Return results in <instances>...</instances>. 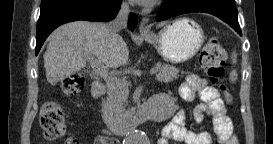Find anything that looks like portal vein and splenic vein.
<instances>
[{
	"label": "portal vein and splenic vein",
	"mask_w": 273,
	"mask_h": 144,
	"mask_svg": "<svg viewBox=\"0 0 273 144\" xmlns=\"http://www.w3.org/2000/svg\"><path fill=\"white\" fill-rule=\"evenodd\" d=\"M87 60L91 63V65L95 68V71L107 82L108 87L119 86L122 89L128 91V82L122 81L121 79L109 75L106 71L105 67L92 55L86 54ZM158 72V68L154 67L150 70V74L154 75Z\"/></svg>",
	"instance_id": "18ae733b"
}]
</instances>
